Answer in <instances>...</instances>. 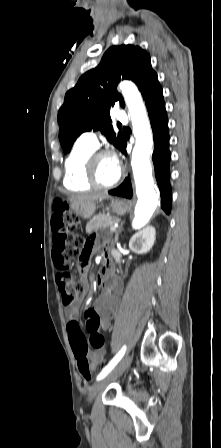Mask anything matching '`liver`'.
<instances>
[{"instance_id": "1", "label": "liver", "mask_w": 221, "mask_h": 448, "mask_svg": "<svg viewBox=\"0 0 221 448\" xmlns=\"http://www.w3.org/2000/svg\"><path fill=\"white\" fill-rule=\"evenodd\" d=\"M109 196L106 192L93 193V194H84L73 197L72 205L74 206H85L91 203H95L97 201H102L104 199H108Z\"/></svg>"}]
</instances>
